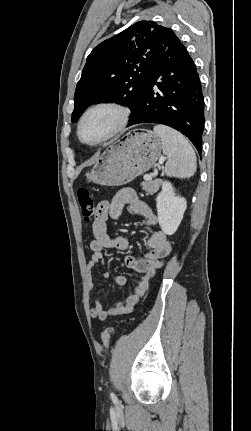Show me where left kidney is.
Here are the masks:
<instances>
[{
    "label": "left kidney",
    "instance_id": "5707ae66",
    "mask_svg": "<svg viewBox=\"0 0 251 431\" xmlns=\"http://www.w3.org/2000/svg\"><path fill=\"white\" fill-rule=\"evenodd\" d=\"M158 222L166 235H173L178 229L187 208L186 199L177 196L172 184L162 182V190L156 198Z\"/></svg>",
    "mask_w": 251,
    "mask_h": 431
}]
</instances>
